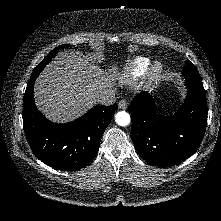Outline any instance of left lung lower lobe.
I'll return each mask as SVG.
<instances>
[{
  "label": "left lung lower lobe",
  "instance_id": "obj_1",
  "mask_svg": "<svg viewBox=\"0 0 221 221\" xmlns=\"http://www.w3.org/2000/svg\"><path fill=\"white\" fill-rule=\"evenodd\" d=\"M187 86L181 108L168 117L157 113L155 99L141 92L130 104L131 138L135 149L149 164L157 167L176 165L192 156L207 125L204 88Z\"/></svg>",
  "mask_w": 221,
  "mask_h": 221
}]
</instances>
